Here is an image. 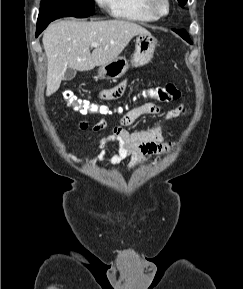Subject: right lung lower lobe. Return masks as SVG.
Masks as SVG:
<instances>
[{
	"label": "right lung lower lobe",
	"mask_w": 243,
	"mask_h": 289,
	"mask_svg": "<svg viewBox=\"0 0 243 289\" xmlns=\"http://www.w3.org/2000/svg\"><path fill=\"white\" fill-rule=\"evenodd\" d=\"M66 17L62 14H56L50 17L40 16L37 21L36 37L47 27V25L55 19Z\"/></svg>",
	"instance_id": "98d812e1"
}]
</instances>
